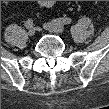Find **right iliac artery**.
<instances>
[{
    "label": "right iliac artery",
    "instance_id": "82829eb1",
    "mask_svg": "<svg viewBox=\"0 0 109 109\" xmlns=\"http://www.w3.org/2000/svg\"><path fill=\"white\" fill-rule=\"evenodd\" d=\"M26 28H32L33 27V20L30 18L25 23Z\"/></svg>",
    "mask_w": 109,
    "mask_h": 109
}]
</instances>
